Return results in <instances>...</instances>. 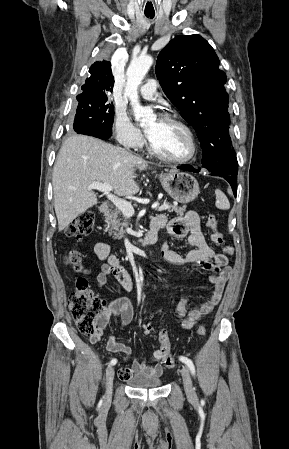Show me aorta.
Returning <instances> with one entry per match:
<instances>
[{
	"mask_svg": "<svg viewBox=\"0 0 289 449\" xmlns=\"http://www.w3.org/2000/svg\"><path fill=\"white\" fill-rule=\"evenodd\" d=\"M152 64L153 58L151 56L141 55L131 61L126 72L127 83L125 87V95L130 99L134 115L140 119L142 125L153 118V110L149 107H143L140 105L138 87Z\"/></svg>",
	"mask_w": 289,
	"mask_h": 449,
	"instance_id": "obj_1",
	"label": "aorta"
}]
</instances>
